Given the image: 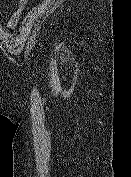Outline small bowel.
Returning a JSON list of instances; mask_svg holds the SVG:
<instances>
[{
	"mask_svg": "<svg viewBox=\"0 0 131 177\" xmlns=\"http://www.w3.org/2000/svg\"><path fill=\"white\" fill-rule=\"evenodd\" d=\"M27 2H28V0H17V4H18L19 8L13 13L11 18L8 20V22H7L8 28H13L17 24V22L21 16L23 7L25 6V4Z\"/></svg>",
	"mask_w": 131,
	"mask_h": 177,
	"instance_id": "c3829d8e",
	"label": "small bowel"
}]
</instances>
